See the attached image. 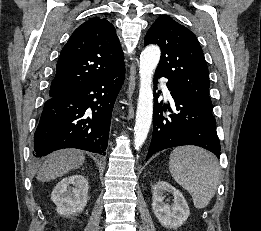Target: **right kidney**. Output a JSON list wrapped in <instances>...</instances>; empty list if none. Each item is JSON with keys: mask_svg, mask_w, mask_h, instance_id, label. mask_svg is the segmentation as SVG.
Listing matches in <instances>:
<instances>
[{"mask_svg": "<svg viewBox=\"0 0 261 231\" xmlns=\"http://www.w3.org/2000/svg\"><path fill=\"white\" fill-rule=\"evenodd\" d=\"M88 180L82 175H72L62 179L51 194L60 215H75L83 211L87 204Z\"/></svg>", "mask_w": 261, "mask_h": 231, "instance_id": "right-kidney-1", "label": "right kidney"}]
</instances>
